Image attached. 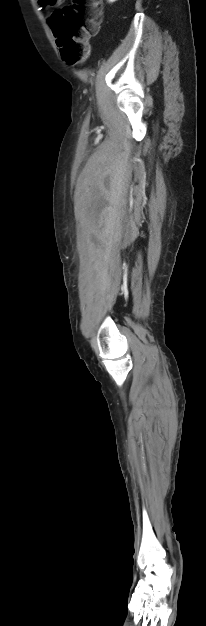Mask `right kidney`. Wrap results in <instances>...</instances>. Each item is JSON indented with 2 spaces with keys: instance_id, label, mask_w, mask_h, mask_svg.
Listing matches in <instances>:
<instances>
[{
  "instance_id": "ca27d5eb",
  "label": "right kidney",
  "mask_w": 206,
  "mask_h": 626,
  "mask_svg": "<svg viewBox=\"0 0 206 626\" xmlns=\"http://www.w3.org/2000/svg\"><path fill=\"white\" fill-rule=\"evenodd\" d=\"M107 1H108V2H110V3H112V2H115L116 0H107Z\"/></svg>"
}]
</instances>
